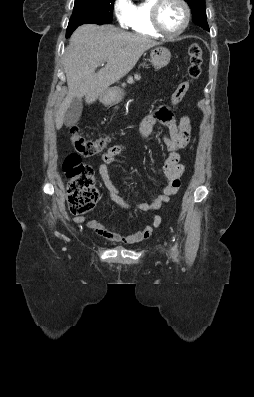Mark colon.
<instances>
[{"label": "colon", "instance_id": "5ec220e1", "mask_svg": "<svg viewBox=\"0 0 254 397\" xmlns=\"http://www.w3.org/2000/svg\"><path fill=\"white\" fill-rule=\"evenodd\" d=\"M189 64L187 79L182 81L170 98L172 106L178 105L187 94L191 84L201 75L202 49L198 44H192L188 49ZM71 143L75 153L70 154L64 162L67 178V201L72 214L81 215L90 211L100 198V191L92 167L82 160L100 153L110 142L108 136L96 139L85 137L78 126L70 128Z\"/></svg>", "mask_w": 254, "mask_h": 397}]
</instances>
